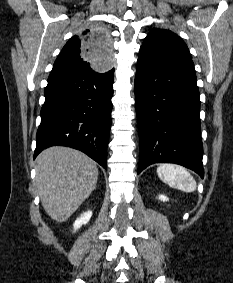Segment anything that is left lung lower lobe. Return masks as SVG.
Wrapping results in <instances>:
<instances>
[{
  "label": "left lung lower lobe",
  "mask_w": 233,
  "mask_h": 283,
  "mask_svg": "<svg viewBox=\"0 0 233 283\" xmlns=\"http://www.w3.org/2000/svg\"><path fill=\"white\" fill-rule=\"evenodd\" d=\"M196 82L190 58L140 50L135 77L138 174L153 163H176L204 177Z\"/></svg>",
  "instance_id": "1"
}]
</instances>
